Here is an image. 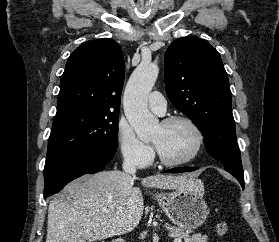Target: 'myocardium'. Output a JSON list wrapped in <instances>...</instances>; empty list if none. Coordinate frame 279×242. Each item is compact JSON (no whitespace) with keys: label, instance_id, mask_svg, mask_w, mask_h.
<instances>
[{"label":"myocardium","instance_id":"obj_1","mask_svg":"<svg viewBox=\"0 0 279 242\" xmlns=\"http://www.w3.org/2000/svg\"><path fill=\"white\" fill-rule=\"evenodd\" d=\"M178 122L187 124L193 130V132L195 134V146H194L192 152L185 158H182L179 160H171V159L164 157L159 152L157 147L154 145L158 160L162 164H164L166 166H170V167L183 166V165H186V164L192 162L194 159H196V157L201 152L203 145H204V141H205L204 133H203L202 129L200 128V126L192 118H190L188 116H184V115L169 116V117L164 118L160 122V124L163 126H168V125L178 123Z\"/></svg>","mask_w":279,"mask_h":242}]
</instances>
